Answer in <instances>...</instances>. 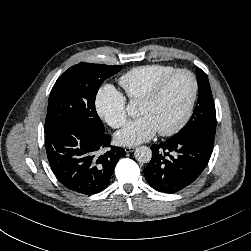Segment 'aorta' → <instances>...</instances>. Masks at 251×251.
<instances>
[{
  "label": "aorta",
  "instance_id": "aorta-1",
  "mask_svg": "<svg viewBox=\"0 0 251 251\" xmlns=\"http://www.w3.org/2000/svg\"><path fill=\"white\" fill-rule=\"evenodd\" d=\"M131 110L132 105H129L127 107L128 113H131ZM134 155L137 161L141 163H148L152 158V151L147 146H139L136 148Z\"/></svg>",
  "mask_w": 251,
  "mask_h": 251
}]
</instances>
